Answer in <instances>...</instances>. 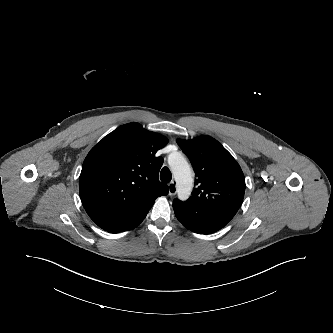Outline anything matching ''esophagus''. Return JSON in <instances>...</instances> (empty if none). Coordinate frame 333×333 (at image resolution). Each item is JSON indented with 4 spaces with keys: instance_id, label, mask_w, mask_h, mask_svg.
Returning <instances> with one entry per match:
<instances>
[{
    "instance_id": "esophagus-1",
    "label": "esophagus",
    "mask_w": 333,
    "mask_h": 333,
    "mask_svg": "<svg viewBox=\"0 0 333 333\" xmlns=\"http://www.w3.org/2000/svg\"><path fill=\"white\" fill-rule=\"evenodd\" d=\"M169 196H174L176 194V184L174 181L170 182L168 185Z\"/></svg>"
}]
</instances>
